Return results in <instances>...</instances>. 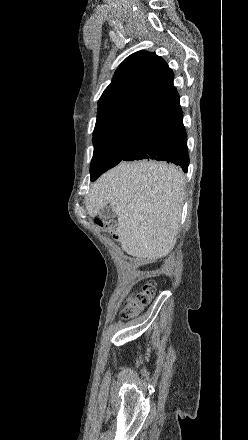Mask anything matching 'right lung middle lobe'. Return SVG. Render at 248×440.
<instances>
[{
    "label": "right lung middle lobe",
    "instance_id": "obj_1",
    "mask_svg": "<svg viewBox=\"0 0 248 440\" xmlns=\"http://www.w3.org/2000/svg\"><path fill=\"white\" fill-rule=\"evenodd\" d=\"M130 131L115 133L94 145L90 167L91 181H95L102 173L116 166L122 160Z\"/></svg>",
    "mask_w": 248,
    "mask_h": 440
}]
</instances>
